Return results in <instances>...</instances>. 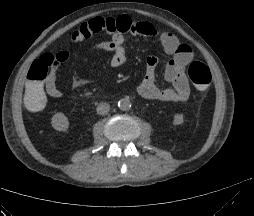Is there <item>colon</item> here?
Returning <instances> with one entry per match:
<instances>
[{"instance_id": "colon-1", "label": "colon", "mask_w": 254, "mask_h": 216, "mask_svg": "<svg viewBox=\"0 0 254 216\" xmlns=\"http://www.w3.org/2000/svg\"><path fill=\"white\" fill-rule=\"evenodd\" d=\"M60 63L58 54H44L31 65L27 83L21 89V100L24 107L32 112L39 113L43 111L48 103L49 96L43 89L44 81L46 80L49 71L56 70ZM188 76L195 88L199 92H205L212 81L210 68L201 61H192L188 66Z\"/></svg>"}]
</instances>
